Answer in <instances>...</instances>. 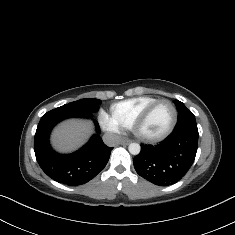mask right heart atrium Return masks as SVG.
<instances>
[{"label": "right heart atrium", "instance_id": "1", "mask_svg": "<svg viewBox=\"0 0 235 235\" xmlns=\"http://www.w3.org/2000/svg\"><path fill=\"white\" fill-rule=\"evenodd\" d=\"M98 121L101 126L110 133L118 134L122 131V127L119 123L113 119L112 116H109L102 108L98 111Z\"/></svg>", "mask_w": 235, "mask_h": 235}]
</instances>
